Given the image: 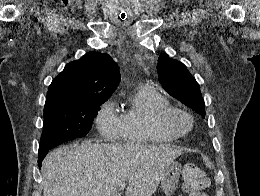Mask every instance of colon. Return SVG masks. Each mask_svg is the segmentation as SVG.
<instances>
[{"mask_svg":"<svg viewBox=\"0 0 260 196\" xmlns=\"http://www.w3.org/2000/svg\"><path fill=\"white\" fill-rule=\"evenodd\" d=\"M181 178L189 196H206L210 179L203 169L194 164L185 165L181 170Z\"/></svg>","mask_w":260,"mask_h":196,"instance_id":"5ec220e1","label":"colon"}]
</instances>
